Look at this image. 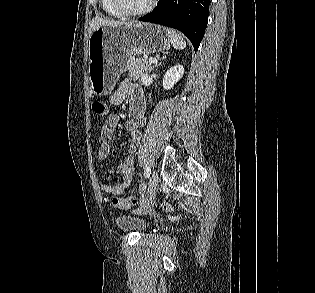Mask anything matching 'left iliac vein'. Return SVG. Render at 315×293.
I'll return each instance as SVG.
<instances>
[{"label":"left iliac vein","instance_id":"4c4485c4","mask_svg":"<svg viewBox=\"0 0 315 293\" xmlns=\"http://www.w3.org/2000/svg\"><path fill=\"white\" fill-rule=\"evenodd\" d=\"M159 183V174L158 172L155 170L153 171L151 178L149 180L148 183V192H147V196H151L155 193L156 188L158 186Z\"/></svg>","mask_w":315,"mask_h":293}]
</instances>
